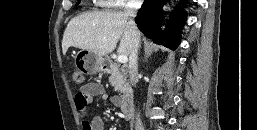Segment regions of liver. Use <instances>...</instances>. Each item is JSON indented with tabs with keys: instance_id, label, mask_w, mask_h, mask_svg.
I'll return each instance as SVG.
<instances>
[{
	"instance_id": "liver-1",
	"label": "liver",
	"mask_w": 257,
	"mask_h": 130,
	"mask_svg": "<svg viewBox=\"0 0 257 130\" xmlns=\"http://www.w3.org/2000/svg\"><path fill=\"white\" fill-rule=\"evenodd\" d=\"M127 23L123 13L88 12L76 16L64 31L63 54L73 46L105 56L116 48L120 40L117 52L128 57L132 49V37Z\"/></svg>"
}]
</instances>
